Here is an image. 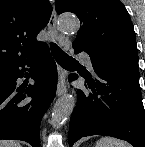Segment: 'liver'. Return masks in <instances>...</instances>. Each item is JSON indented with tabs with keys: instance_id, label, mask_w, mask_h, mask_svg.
Here are the masks:
<instances>
[{
	"instance_id": "1",
	"label": "liver",
	"mask_w": 145,
	"mask_h": 147,
	"mask_svg": "<svg viewBox=\"0 0 145 147\" xmlns=\"http://www.w3.org/2000/svg\"><path fill=\"white\" fill-rule=\"evenodd\" d=\"M0 147H21L18 142L11 140H0Z\"/></svg>"
}]
</instances>
